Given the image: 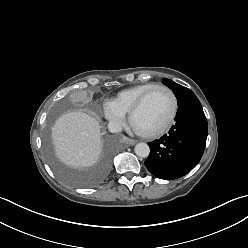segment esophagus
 <instances>
[{
    "label": "esophagus",
    "mask_w": 248,
    "mask_h": 248,
    "mask_svg": "<svg viewBox=\"0 0 248 248\" xmlns=\"http://www.w3.org/2000/svg\"><path fill=\"white\" fill-rule=\"evenodd\" d=\"M123 140H124V142H125L127 145H129V146H133V145H135V144L137 143L136 140L130 139V138H128V137H124Z\"/></svg>",
    "instance_id": "esophagus-1"
}]
</instances>
